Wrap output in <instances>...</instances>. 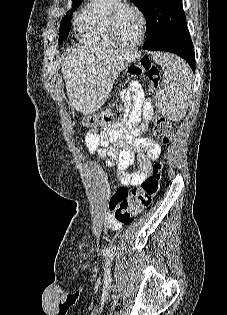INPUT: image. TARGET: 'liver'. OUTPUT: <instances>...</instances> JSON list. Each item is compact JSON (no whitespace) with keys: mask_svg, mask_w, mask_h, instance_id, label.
<instances>
[{"mask_svg":"<svg viewBox=\"0 0 227 315\" xmlns=\"http://www.w3.org/2000/svg\"><path fill=\"white\" fill-rule=\"evenodd\" d=\"M134 58L127 51L101 46L72 48L62 64L72 108L84 115L100 109L109 98L118 74Z\"/></svg>","mask_w":227,"mask_h":315,"instance_id":"6515ba94","label":"liver"}]
</instances>
